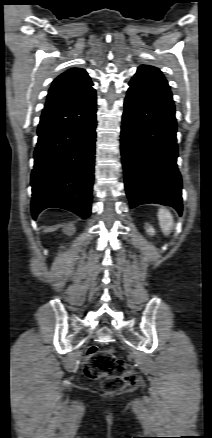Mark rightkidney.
Here are the masks:
<instances>
[{"label": "right kidney", "mask_w": 212, "mask_h": 438, "mask_svg": "<svg viewBox=\"0 0 212 438\" xmlns=\"http://www.w3.org/2000/svg\"><path fill=\"white\" fill-rule=\"evenodd\" d=\"M64 231L66 233H69V234L73 233L74 232V227L72 225H69V226L65 227Z\"/></svg>", "instance_id": "right-kidney-1"}]
</instances>
